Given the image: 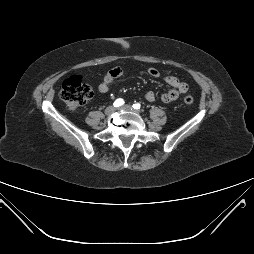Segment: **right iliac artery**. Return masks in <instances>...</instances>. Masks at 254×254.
Returning <instances> with one entry per match:
<instances>
[{
    "instance_id": "1",
    "label": "right iliac artery",
    "mask_w": 254,
    "mask_h": 254,
    "mask_svg": "<svg viewBox=\"0 0 254 254\" xmlns=\"http://www.w3.org/2000/svg\"><path fill=\"white\" fill-rule=\"evenodd\" d=\"M123 104H124V100L123 99H117V100H115L113 105L115 107H119V106H122Z\"/></svg>"
}]
</instances>
